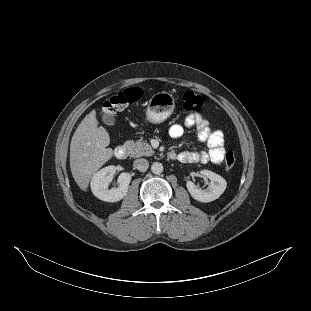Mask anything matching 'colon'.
Here are the masks:
<instances>
[{
  "label": "colon",
  "instance_id": "colon-1",
  "mask_svg": "<svg viewBox=\"0 0 311 311\" xmlns=\"http://www.w3.org/2000/svg\"><path fill=\"white\" fill-rule=\"evenodd\" d=\"M141 97V92L137 88L126 89L118 95L110 98L103 107L106 115H114L124 111L128 106L136 103ZM203 105V99L193 91H186L182 96V109L191 113ZM236 158L234 153L227 152L224 157V166L226 170L234 167Z\"/></svg>",
  "mask_w": 311,
  "mask_h": 311
}]
</instances>
